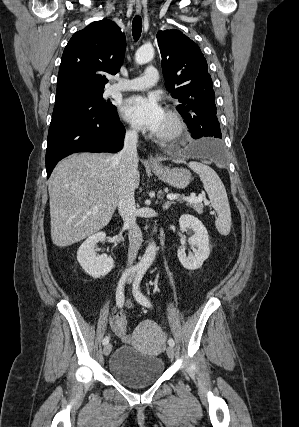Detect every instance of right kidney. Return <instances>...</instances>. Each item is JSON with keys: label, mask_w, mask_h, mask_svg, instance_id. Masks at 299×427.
I'll return each mask as SVG.
<instances>
[{"label": "right kidney", "mask_w": 299, "mask_h": 427, "mask_svg": "<svg viewBox=\"0 0 299 427\" xmlns=\"http://www.w3.org/2000/svg\"><path fill=\"white\" fill-rule=\"evenodd\" d=\"M105 232H98L87 238L77 251V260L83 270L93 278L107 275L114 266V261L107 255L96 256L95 247L99 241H104Z\"/></svg>", "instance_id": "ca27d5eb"}]
</instances>
